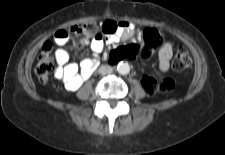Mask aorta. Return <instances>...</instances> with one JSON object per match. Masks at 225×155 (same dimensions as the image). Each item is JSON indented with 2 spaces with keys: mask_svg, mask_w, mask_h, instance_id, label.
<instances>
[{
  "mask_svg": "<svg viewBox=\"0 0 225 155\" xmlns=\"http://www.w3.org/2000/svg\"><path fill=\"white\" fill-rule=\"evenodd\" d=\"M117 71L122 75L128 74L130 71V66L127 62H120L117 65Z\"/></svg>",
  "mask_w": 225,
  "mask_h": 155,
  "instance_id": "obj_1",
  "label": "aorta"
}]
</instances>
